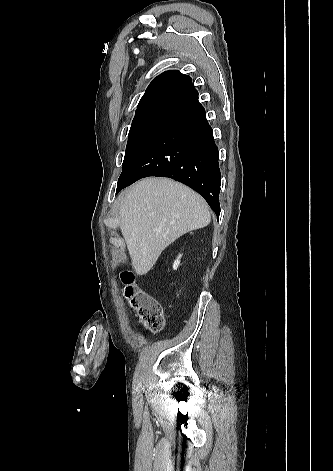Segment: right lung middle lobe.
<instances>
[{
    "label": "right lung middle lobe",
    "mask_w": 333,
    "mask_h": 471,
    "mask_svg": "<svg viewBox=\"0 0 333 471\" xmlns=\"http://www.w3.org/2000/svg\"><path fill=\"white\" fill-rule=\"evenodd\" d=\"M175 121L159 116L134 117L129 131L122 173L161 132Z\"/></svg>",
    "instance_id": "1"
}]
</instances>
